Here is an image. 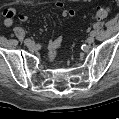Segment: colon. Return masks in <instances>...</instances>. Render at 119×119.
Wrapping results in <instances>:
<instances>
[{
  "label": "colon",
  "instance_id": "1",
  "mask_svg": "<svg viewBox=\"0 0 119 119\" xmlns=\"http://www.w3.org/2000/svg\"><path fill=\"white\" fill-rule=\"evenodd\" d=\"M109 14H110V8L106 6H102L96 10L95 17L98 20H105L109 17Z\"/></svg>",
  "mask_w": 119,
  "mask_h": 119
}]
</instances>
